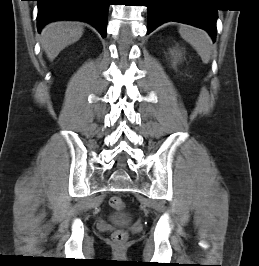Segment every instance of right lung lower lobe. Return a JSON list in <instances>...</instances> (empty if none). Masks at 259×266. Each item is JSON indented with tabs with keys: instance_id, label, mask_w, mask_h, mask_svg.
<instances>
[{
	"instance_id": "obj_1",
	"label": "right lung lower lobe",
	"mask_w": 259,
	"mask_h": 266,
	"mask_svg": "<svg viewBox=\"0 0 259 266\" xmlns=\"http://www.w3.org/2000/svg\"><path fill=\"white\" fill-rule=\"evenodd\" d=\"M38 31L56 20H79L90 23L106 37L109 0H37Z\"/></svg>"
}]
</instances>
